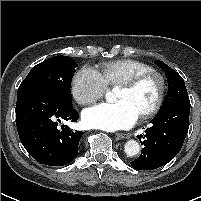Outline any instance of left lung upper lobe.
<instances>
[{"label":"left lung upper lobe","mask_w":201,"mask_h":201,"mask_svg":"<svg viewBox=\"0 0 201 201\" xmlns=\"http://www.w3.org/2000/svg\"><path fill=\"white\" fill-rule=\"evenodd\" d=\"M156 63L161 69H163L168 80V93L162 107L175 102L189 101L183 78L164 62L156 61Z\"/></svg>","instance_id":"5c2ea615"}]
</instances>
